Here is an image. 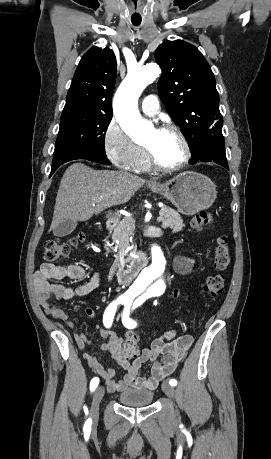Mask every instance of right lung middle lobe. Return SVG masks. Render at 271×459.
<instances>
[{
    "instance_id": "right-lung-middle-lobe-1",
    "label": "right lung middle lobe",
    "mask_w": 271,
    "mask_h": 459,
    "mask_svg": "<svg viewBox=\"0 0 271 459\" xmlns=\"http://www.w3.org/2000/svg\"><path fill=\"white\" fill-rule=\"evenodd\" d=\"M112 114L66 113L61 115L54 157L73 149L105 153V131Z\"/></svg>"
}]
</instances>
